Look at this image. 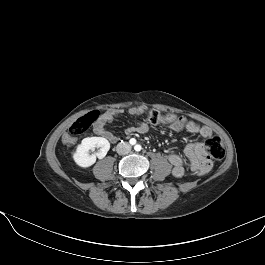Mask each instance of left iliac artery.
Here are the masks:
<instances>
[{
    "mask_svg": "<svg viewBox=\"0 0 265 265\" xmlns=\"http://www.w3.org/2000/svg\"><path fill=\"white\" fill-rule=\"evenodd\" d=\"M134 149L136 150V151H140L141 149H142V147H141V145H136L135 147H134Z\"/></svg>",
    "mask_w": 265,
    "mask_h": 265,
    "instance_id": "obj_1",
    "label": "left iliac artery"
}]
</instances>
